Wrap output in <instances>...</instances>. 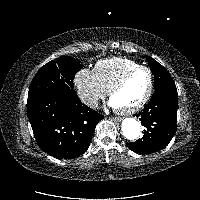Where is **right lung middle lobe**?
I'll list each match as a JSON object with an SVG mask.
<instances>
[{"label": "right lung middle lobe", "mask_w": 200, "mask_h": 200, "mask_svg": "<svg viewBox=\"0 0 200 200\" xmlns=\"http://www.w3.org/2000/svg\"><path fill=\"white\" fill-rule=\"evenodd\" d=\"M81 65L71 57H62L57 61H50L34 76L28 97L40 93L67 94L74 87L73 79Z\"/></svg>", "instance_id": "dd1d6c3e"}]
</instances>
